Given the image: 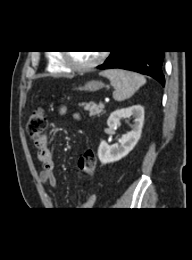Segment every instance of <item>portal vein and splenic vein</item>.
<instances>
[{
	"instance_id": "obj_1",
	"label": "portal vein and splenic vein",
	"mask_w": 192,
	"mask_h": 260,
	"mask_svg": "<svg viewBox=\"0 0 192 260\" xmlns=\"http://www.w3.org/2000/svg\"><path fill=\"white\" fill-rule=\"evenodd\" d=\"M99 106L104 107V104L102 102L99 103Z\"/></svg>"
}]
</instances>
